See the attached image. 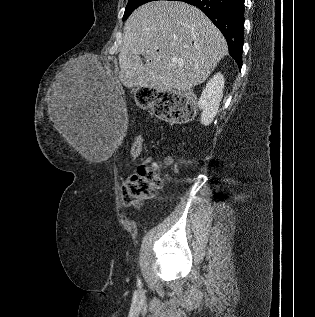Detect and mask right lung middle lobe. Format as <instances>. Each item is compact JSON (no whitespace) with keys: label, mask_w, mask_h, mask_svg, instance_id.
<instances>
[{"label":"right lung middle lobe","mask_w":315,"mask_h":317,"mask_svg":"<svg viewBox=\"0 0 315 317\" xmlns=\"http://www.w3.org/2000/svg\"><path fill=\"white\" fill-rule=\"evenodd\" d=\"M151 1H156V0H129L125 9L123 21L126 20L137 7Z\"/></svg>","instance_id":"dd1d6c3e"}]
</instances>
